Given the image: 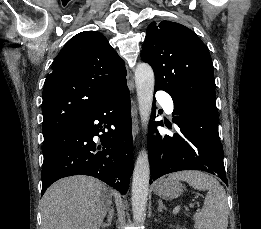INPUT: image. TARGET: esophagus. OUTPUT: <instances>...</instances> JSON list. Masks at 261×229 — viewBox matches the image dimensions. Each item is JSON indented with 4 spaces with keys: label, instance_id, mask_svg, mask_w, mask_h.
<instances>
[{
    "label": "esophagus",
    "instance_id": "esophagus-1",
    "mask_svg": "<svg viewBox=\"0 0 261 229\" xmlns=\"http://www.w3.org/2000/svg\"><path fill=\"white\" fill-rule=\"evenodd\" d=\"M132 133L133 138L136 139L139 132V121H138V108L135 100H132Z\"/></svg>",
    "mask_w": 261,
    "mask_h": 229
}]
</instances>
